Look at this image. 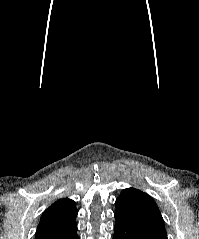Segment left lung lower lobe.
Instances as JSON below:
<instances>
[{"instance_id":"0a47b994","label":"left lung lower lobe","mask_w":199,"mask_h":239,"mask_svg":"<svg viewBox=\"0 0 199 239\" xmlns=\"http://www.w3.org/2000/svg\"><path fill=\"white\" fill-rule=\"evenodd\" d=\"M113 239H161L151 230L125 215L115 213Z\"/></svg>"}]
</instances>
